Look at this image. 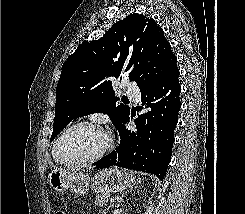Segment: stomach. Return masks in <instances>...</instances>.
<instances>
[{"mask_svg":"<svg viewBox=\"0 0 245 214\" xmlns=\"http://www.w3.org/2000/svg\"><path fill=\"white\" fill-rule=\"evenodd\" d=\"M47 182L56 192L70 189L81 195L85 194L90 188L98 193L124 191L136 182V178L131 172L117 167L104 169L91 179L81 172L53 169L48 175Z\"/></svg>","mask_w":245,"mask_h":214,"instance_id":"obj_1","label":"stomach"}]
</instances>
